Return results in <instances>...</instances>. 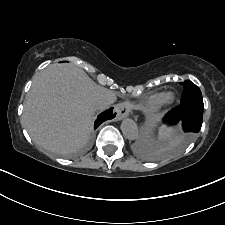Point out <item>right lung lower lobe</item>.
I'll use <instances>...</instances> for the list:
<instances>
[{
  "instance_id": "98d812e1",
  "label": "right lung lower lobe",
  "mask_w": 225,
  "mask_h": 225,
  "mask_svg": "<svg viewBox=\"0 0 225 225\" xmlns=\"http://www.w3.org/2000/svg\"><path fill=\"white\" fill-rule=\"evenodd\" d=\"M111 117H113L112 108L98 116L97 120L95 121V128H97L102 122Z\"/></svg>"
}]
</instances>
